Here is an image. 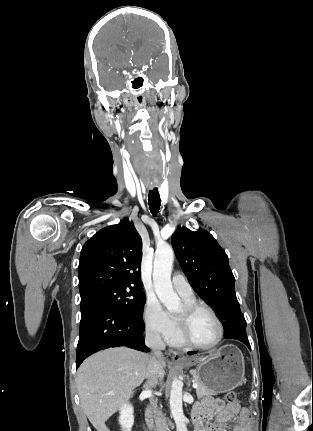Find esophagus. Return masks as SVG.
<instances>
[{
    "label": "esophagus",
    "instance_id": "1",
    "mask_svg": "<svg viewBox=\"0 0 313 431\" xmlns=\"http://www.w3.org/2000/svg\"><path fill=\"white\" fill-rule=\"evenodd\" d=\"M172 359L173 360H180L182 359V355L179 351H172Z\"/></svg>",
    "mask_w": 313,
    "mask_h": 431
}]
</instances>
